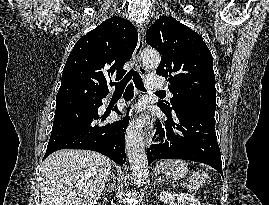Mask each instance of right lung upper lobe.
<instances>
[{"mask_svg": "<svg viewBox=\"0 0 269 205\" xmlns=\"http://www.w3.org/2000/svg\"><path fill=\"white\" fill-rule=\"evenodd\" d=\"M135 27L120 17H111L81 37L72 49L56 95V108L93 104L109 93L107 78L121 79L137 45Z\"/></svg>", "mask_w": 269, "mask_h": 205, "instance_id": "obj_1", "label": "right lung upper lobe"}]
</instances>
